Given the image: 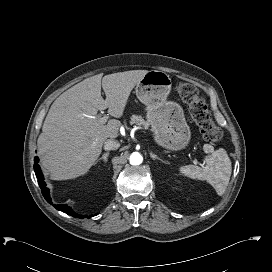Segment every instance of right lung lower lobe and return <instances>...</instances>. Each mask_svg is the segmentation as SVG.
<instances>
[{"mask_svg":"<svg viewBox=\"0 0 272 272\" xmlns=\"http://www.w3.org/2000/svg\"><path fill=\"white\" fill-rule=\"evenodd\" d=\"M34 171H35V174H36V177L38 179V183H39V186L41 188V191H42V194L44 196V198L46 199V201L50 204H53L52 201H51V198H50V191L49 189L46 187V183L44 182V178H43V175L41 173V169H40V166L38 165V157L36 156L34 158ZM53 206L62 211V212H65L67 213L68 215H71L73 217H78V218H83V217H87V218H90L91 216H83V215H79L77 213H75L71 207L67 206L66 204H63V205H55L53 204Z\"/></svg>","mask_w":272,"mask_h":272,"instance_id":"right-lung-lower-lobe-1","label":"right lung lower lobe"}]
</instances>
